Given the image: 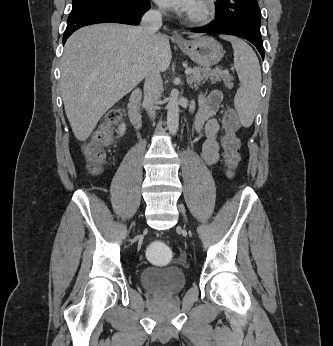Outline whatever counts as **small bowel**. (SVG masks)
I'll list each match as a JSON object with an SVG mask.
<instances>
[{"label": "small bowel", "mask_w": 333, "mask_h": 346, "mask_svg": "<svg viewBox=\"0 0 333 346\" xmlns=\"http://www.w3.org/2000/svg\"><path fill=\"white\" fill-rule=\"evenodd\" d=\"M222 101V93L214 90L202 94L198 98V106L194 118V129L197 133L204 131L206 139L202 144L201 156L208 164H214L219 159L218 131L220 124L214 117Z\"/></svg>", "instance_id": "c3829d8e"}]
</instances>
